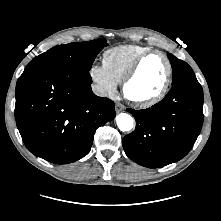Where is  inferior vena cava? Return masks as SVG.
Returning a JSON list of instances; mask_svg holds the SVG:
<instances>
[{
  "label": "inferior vena cava",
  "instance_id": "obj_1",
  "mask_svg": "<svg viewBox=\"0 0 221 221\" xmlns=\"http://www.w3.org/2000/svg\"><path fill=\"white\" fill-rule=\"evenodd\" d=\"M92 90H93V93L97 96H100V97L107 96V92L102 86L92 85Z\"/></svg>",
  "mask_w": 221,
  "mask_h": 221
}]
</instances>
